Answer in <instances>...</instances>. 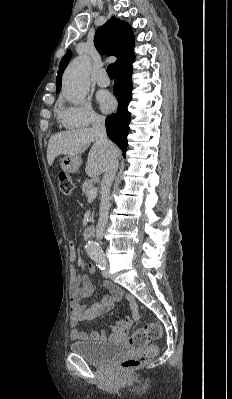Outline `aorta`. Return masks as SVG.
I'll return each mask as SVG.
<instances>
[{
  "instance_id": "obj_1",
  "label": "aorta",
  "mask_w": 232,
  "mask_h": 399,
  "mask_svg": "<svg viewBox=\"0 0 232 399\" xmlns=\"http://www.w3.org/2000/svg\"><path fill=\"white\" fill-rule=\"evenodd\" d=\"M91 62L88 57H77L70 62L62 79V93L66 100L74 104L81 103L89 91V76ZM85 250L89 256L101 255L100 245L95 241H89Z\"/></svg>"
}]
</instances>
